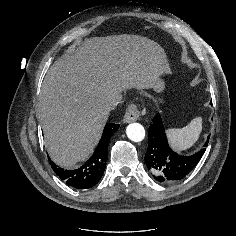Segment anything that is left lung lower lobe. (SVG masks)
I'll use <instances>...</instances> for the list:
<instances>
[{
    "instance_id": "1",
    "label": "left lung lower lobe",
    "mask_w": 236,
    "mask_h": 236,
    "mask_svg": "<svg viewBox=\"0 0 236 236\" xmlns=\"http://www.w3.org/2000/svg\"><path fill=\"white\" fill-rule=\"evenodd\" d=\"M207 138L204 147L208 145ZM148 149L145 162L153 177L164 183H172L184 178L200 161L205 149L190 156H182L174 152L168 145L165 130L159 114L153 118L149 127Z\"/></svg>"
}]
</instances>
